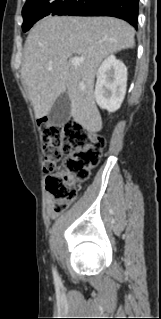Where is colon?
<instances>
[{
    "mask_svg": "<svg viewBox=\"0 0 161 319\" xmlns=\"http://www.w3.org/2000/svg\"><path fill=\"white\" fill-rule=\"evenodd\" d=\"M40 135L52 211L62 213L75 201L79 185L88 179L89 169L98 163L105 140L76 122H43ZM63 154L64 164L57 170L55 164Z\"/></svg>",
    "mask_w": 161,
    "mask_h": 319,
    "instance_id": "obj_1",
    "label": "colon"
}]
</instances>
